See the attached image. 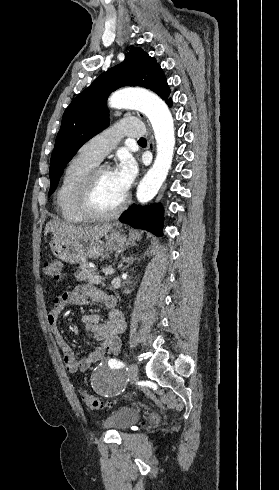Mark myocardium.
Instances as JSON below:
<instances>
[{"label": "myocardium", "instance_id": "obj_1", "mask_svg": "<svg viewBox=\"0 0 279 490\" xmlns=\"http://www.w3.org/2000/svg\"><path fill=\"white\" fill-rule=\"evenodd\" d=\"M109 170L110 168L107 166H96L88 173L84 180L80 206L84 214L90 219L110 220L119 216L127 207V197H124L122 202L110 211H104L97 205L96 196L100 175Z\"/></svg>", "mask_w": 279, "mask_h": 490}]
</instances>
